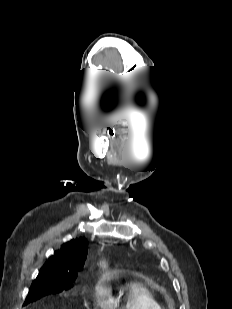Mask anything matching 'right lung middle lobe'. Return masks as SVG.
I'll return each instance as SVG.
<instances>
[{
    "label": "right lung middle lobe",
    "instance_id": "right-lung-middle-lobe-1",
    "mask_svg": "<svg viewBox=\"0 0 232 309\" xmlns=\"http://www.w3.org/2000/svg\"><path fill=\"white\" fill-rule=\"evenodd\" d=\"M71 280L55 281L49 279L34 280L26 297L24 305L35 302L49 294L60 293L70 287Z\"/></svg>",
    "mask_w": 232,
    "mask_h": 309
}]
</instances>
